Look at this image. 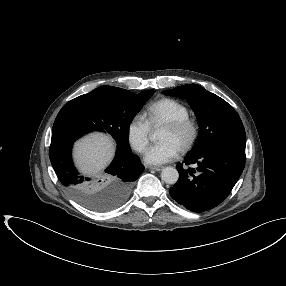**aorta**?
I'll return each instance as SVG.
<instances>
[{
    "label": "aorta",
    "mask_w": 286,
    "mask_h": 286,
    "mask_svg": "<svg viewBox=\"0 0 286 286\" xmlns=\"http://www.w3.org/2000/svg\"><path fill=\"white\" fill-rule=\"evenodd\" d=\"M155 138V135L153 136V139ZM179 173L178 171L173 167H166L161 172V179L166 184H175L178 181Z\"/></svg>",
    "instance_id": "aorta-1"
}]
</instances>
